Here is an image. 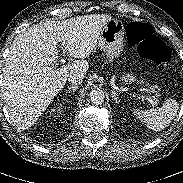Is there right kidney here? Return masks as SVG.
<instances>
[{
	"label": "right kidney",
	"instance_id": "right-kidney-1",
	"mask_svg": "<svg viewBox=\"0 0 183 183\" xmlns=\"http://www.w3.org/2000/svg\"><path fill=\"white\" fill-rule=\"evenodd\" d=\"M60 105H61V104H59V105H58V106H56V107H57V108H60Z\"/></svg>",
	"mask_w": 183,
	"mask_h": 183
}]
</instances>
